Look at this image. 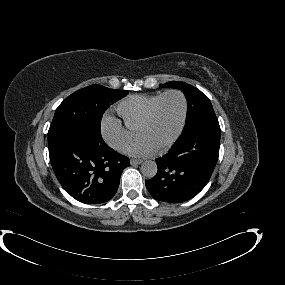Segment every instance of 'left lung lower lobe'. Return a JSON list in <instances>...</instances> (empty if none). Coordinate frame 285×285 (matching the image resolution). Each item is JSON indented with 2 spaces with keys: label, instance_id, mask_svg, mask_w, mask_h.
<instances>
[{
  "label": "left lung lower lobe",
  "instance_id": "0a47b994",
  "mask_svg": "<svg viewBox=\"0 0 285 285\" xmlns=\"http://www.w3.org/2000/svg\"><path fill=\"white\" fill-rule=\"evenodd\" d=\"M217 118L200 122L182 135L169 153L157 159L158 172L146 188L158 201L181 203L196 196L208 183L220 146Z\"/></svg>",
  "mask_w": 285,
  "mask_h": 285
}]
</instances>
